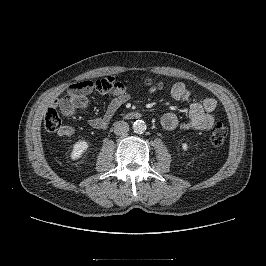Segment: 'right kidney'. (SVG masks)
I'll use <instances>...</instances> for the list:
<instances>
[{"label":"right kidney","instance_id":"ca27d5eb","mask_svg":"<svg viewBox=\"0 0 266 266\" xmlns=\"http://www.w3.org/2000/svg\"><path fill=\"white\" fill-rule=\"evenodd\" d=\"M88 143L84 140L76 142L73 147L72 151L70 153V157L72 160L79 159L87 150Z\"/></svg>","mask_w":266,"mask_h":266}]
</instances>
